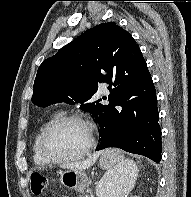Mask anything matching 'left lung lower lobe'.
<instances>
[{
    "label": "left lung lower lobe",
    "instance_id": "1",
    "mask_svg": "<svg viewBox=\"0 0 191 197\" xmlns=\"http://www.w3.org/2000/svg\"><path fill=\"white\" fill-rule=\"evenodd\" d=\"M126 73V72H125ZM108 100L94 119L100 125L97 150L108 147L161 160V129L155 87L147 66L115 76Z\"/></svg>",
    "mask_w": 191,
    "mask_h": 197
}]
</instances>
